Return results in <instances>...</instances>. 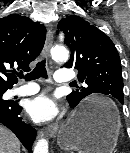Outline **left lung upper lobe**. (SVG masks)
Returning <instances> with one entry per match:
<instances>
[{
    "instance_id": "obj_1",
    "label": "left lung upper lobe",
    "mask_w": 130,
    "mask_h": 153,
    "mask_svg": "<svg viewBox=\"0 0 130 153\" xmlns=\"http://www.w3.org/2000/svg\"><path fill=\"white\" fill-rule=\"evenodd\" d=\"M58 28L71 49L70 60L63 67L78 69V80L84 84L67 96L69 104L75 107L92 93L113 96L123 104L120 57L111 39L76 15L62 18Z\"/></svg>"
}]
</instances>
